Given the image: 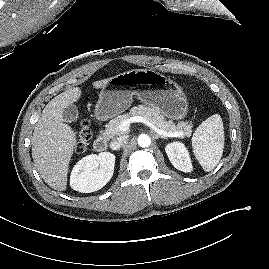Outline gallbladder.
I'll list each match as a JSON object with an SVG mask.
<instances>
[{"label": "gallbladder", "mask_w": 269, "mask_h": 269, "mask_svg": "<svg viewBox=\"0 0 269 269\" xmlns=\"http://www.w3.org/2000/svg\"><path fill=\"white\" fill-rule=\"evenodd\" d=\"M62 118L67 123L76 122L79 118V112L74 104L68 105L63 109Z\"/></svg>", "instance_id": "gallbladder-1"}]
</instances>
